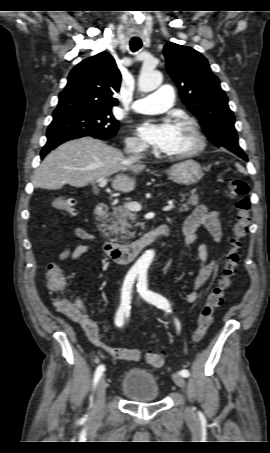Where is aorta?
<instances>
[{
	"label": "aorta",
	"mask_w": 270,
	"mask_h": 453,
	"mask_svg": "<svg viewBox=\"0 0 270 453\" xmlns=\"http://www.w3.org/2000/svg\"><path fill=\"white\" fill-rule=\"evenodd\" d=\"M162 80L163 77L159 71L143 68L138 80L139 90L144 93L151 92L161 85ZM154 255L155 252L153 250L146 251L135 263V268L146 270L152 262Z\"/></svg>",
	"instance_id": "obj_1"
}]
</instances>
